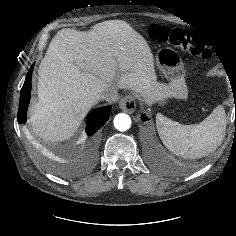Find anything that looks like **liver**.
I'll return each mask as SVG.
<instances>
[{"instance_id": "liver-1", "label": "liver", "mask_w": 236, "mask_h": 236, "mask_svg": "<svg viewBox=\"0 0 236 236\" xmlns=\"http://www.w3.org/2000/svg\"><path fill=\"white\" fill-rule=\"evenodd\" d=\"M38 75L39 99L30 108L29 122L47 141L71 137L108 90L131 89L146 97L162 87L147 41L124 20L104 21L89 31L60 30Z\"/></svg>"}]
</instances>
